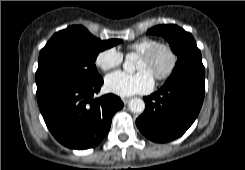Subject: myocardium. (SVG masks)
Wrapping results in <instances>:
<instances>
[{
	"mask_svg": "<svg viewBox=\"0 0 245 170\" xmlns=\"http://www.w3.org/2000/svg\"><path fill=\"white\" fill-rule=\"evenodd\" d=\"M160 50H165L168 53V55L170 57V64L163 73H161L159 75H155L154 77L158 81H164V80H167L173 74V72L177 66V63H178L177 53L175 52V50L173 49V47L170 44L158 42L157 44L152 46L150 49L140 53L139 57L146 59V60H150Z\"/></svg>",
	"mask_w": 245,
	"mask_h": 170,
	"instance_id": "obj_1",
	"label": "myocardium"
}]
</instances>
